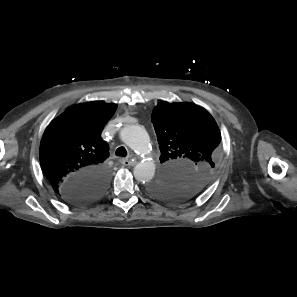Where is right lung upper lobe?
Listing matches in <instances>:
<instances>
[{
  "label": "right lung upper lobe",
  "mask_w": 297,
  "mask_h": 297,
  "mask_svg": "<svg viewBox=\"0 0 297 297\" xmlns=\"http://www.w3.org/2000/svg\"><path fill=\"white\" fill-rule=\"evenodd\" d=\"M116 104L92 101L71 106L46 128L40 144V163L54 191L76 174L106 169L108 144L100 134L114 115Z\"/></svg>",
  "instance_id": "1"
}]
</instances>
